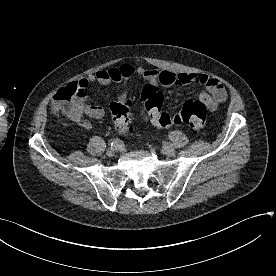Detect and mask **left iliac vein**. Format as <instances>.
<instances>
[{"mask_svg":"<svg viewBox=\"0 0 276 276\" xmlns=\"http://www.w3.org/2000/svg\"><path fill=\"white\" fill-rule=\"evenodd\" d=\"M163 153L165 155H167L168 157H174L175 156V150L173 148L163 149Z\"/></svg>","mask_w":276,"mask_h":276,"instance_id":"4c4485c4","label":"left iliac vein"}]
</instances>
